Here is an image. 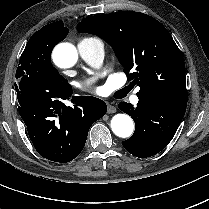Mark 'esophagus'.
Instances as JSON below:
<instances>
[{
	"label": "esophagus",
	"mask_w": 209,
	"mask_h": 209,
	"mask_svg": "<svg viewBox=\"0 0 209 209\" xmlns=\"http://www.w3.org/2000/svg\"><path fill=\"white\" fill-rule=\"evenodd\" d=\"M117 111L116 107L113 106L112 104L108 103V109H107V112L109 114H112V113H115Z\"/></svg>",
	"instance_id": "esophagus-1"
}]
</instances>
